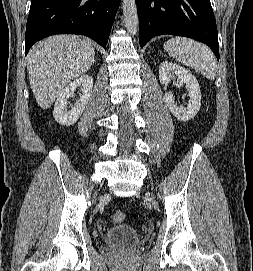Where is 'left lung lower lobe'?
Wrapping results in <instances>:
<instances>
[{
  "label": "left lung lower lobe",
  "instance_id": "obj_1",
  "mask_svg": "<svg viewBox=\"0 0 253 271\" xmlns=\"http://www.w3.org/2000/svg\"><path fill=\"white\" fill-rule=\"evenodd\" d=\"M139 16V43L170 34L207 44L219 60L218 33L210 0H135Z\"/></svg>",
  "mask_w": 253,
  "mask_h": 271
}]
</instances>
